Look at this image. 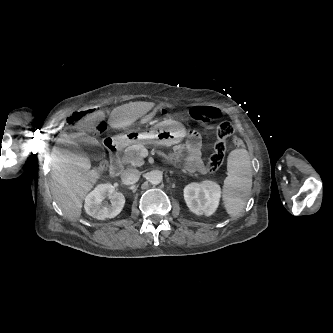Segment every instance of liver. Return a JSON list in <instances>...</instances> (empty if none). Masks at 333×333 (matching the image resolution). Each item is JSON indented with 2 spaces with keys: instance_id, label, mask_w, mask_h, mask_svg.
I'll use <instances>...</instances> for the list:
<instances>
[{
  "instance_id": "liver-1",
  "label": "liver",
  "mask_w": 333,
  "mask_h": 333,
  "mask_svg": "<svg viewBox=\"0 0 333 333\" xmlns=\"http://www.w3.org/2000/svg\"><path fill=\"white\" fill-rule=\"evenodd\" d=\"M153 102H129L114 108L109 117V124L114 129L131 126L154 107ZM104 110L88 113L77 122L75 129H91L100 119H104ZM88 131V130H86ZM86 131H83L85 134ZM57 143L77 146L71 137L63 132ZM91 162L87 155L78 151L54 146L51 153L50 190L63 214L71 221L81 216L82 204L87 193L98 178L96 170H90Z\"/></svg>"
}]
</instances>
